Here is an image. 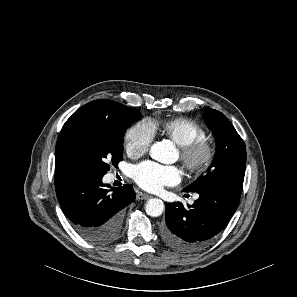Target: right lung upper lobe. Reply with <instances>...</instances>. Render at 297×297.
<instances>
[{
  "mask_svg": "<svg viewBox=\"0 0 297 297\" xmlns=\"http://www.w3.org/2000/svg\"><path fill=\"white\" fill-rule=\"evenodd\" d=\"M120 103L99 99L87 103L79 110H77L64 124L60 135L56 144V152H55V169L56 171L63 169L60 165L59 156H58V148L61 142L62 137L68 130V128L76 123V122H89L94 124L106 125V126H114L117 125L120 121Z\"/></svg>",
  "mask_w": 297,
  "mask_h": 297,
  "instance_id": "1",
  "label": "right lung upper lobe"
}]
</instances>
